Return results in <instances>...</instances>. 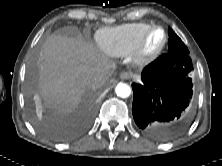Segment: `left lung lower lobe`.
Here are the masks:
<instances>
[{"label":"left lung lower lobe","mask_w":222,"mask_h":166,"mask_svg":"<svg viewBox=\"0 0 222 166\" xmlns=\"http://www.w3.org/2000/svg\"><path fill=\"white\" fill-rule=\"evenodd\" d=\"M189 54L168 52L147 65L142 84H132V113L137 126L148 135L163 138L170 133L164 125L185 114L193 94Z\"/></svg>","instance_id":"0a47b994"}]
</instances>
